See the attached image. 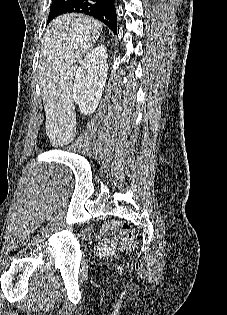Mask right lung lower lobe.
<instances>
[{"label":"right lung lower lobe","instance_id":"obj_1","mask_svg":"<svg viewBox=\"0 0 227 315\" xmlns=\"http://www.w3.org/2000/svg\"><path fill=\"white\" fill-rule=\"evenodd\" d=\"M115 0H52L48 22L66 13H83L106 24L117 34Z\"/></svg>","mask_w":227,"mask_h":315}]
</instances>
